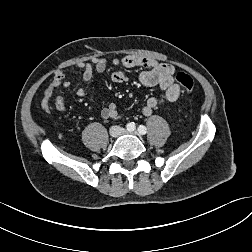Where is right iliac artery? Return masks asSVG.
<instances>
[{"mask_svg": "<svg viewBox=\"0 0 252 252\" xmlns=\"http://www.w3.org/2000/svg\"><path fill=\"white\" fill-rule=\"evenodd\" d=\"M126 128H127L128 131H133V130H135V124L133 122L132 123H128L126 125Z\"/></svg>", "mask_w": 252, "mask_h": 252, "instance_id": "82829eb1", "label": "right iliac artery"}]
</instances>
